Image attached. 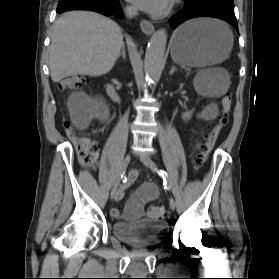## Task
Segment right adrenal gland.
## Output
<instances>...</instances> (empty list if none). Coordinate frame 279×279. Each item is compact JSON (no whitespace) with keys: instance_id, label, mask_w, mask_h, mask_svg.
Returning a JSON list of instances; mask_svg holds the SVG:
<instances>
[{"instance_id":"right-adrenal-gland-1","label":"right adrenal gland","mask_w":279,"mask_h":279,"mask_svg":"<svg viewBox=\"0 0 279 279\" xmlns=\"http://www.w3.org/2000/svg\"><path fill=\"white\" fill-rule=\"evenodd\" d=\"M126 52H125V45L123 44L122 45V51L120 52L119 56H118V59L120 58V56H122L123 59L126 58Z\"/></svg>"}]
</instances>
